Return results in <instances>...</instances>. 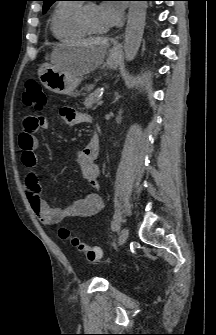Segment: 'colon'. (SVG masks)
<instances>
[{"label":"colon","instance_id":"1","mask_svg":"<svg viewBox=\"0 0 216 335\" xmlns=\"http://www.w3.org/2000/svg\"><path fill=\"white\" fill-rule=\"evenodd\" d=\"M23 100L27 106L33 107L37 111H42L48 105L49 97L36 79H29L25 83ZM58 233L62 239L68 240L89 262H96L101 258L102 251L99 247L90 246L71 236L67 228L61 227Z\"/></svg>","mask_w":216,"mask_h":335}]
</instances>
